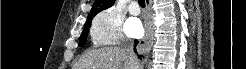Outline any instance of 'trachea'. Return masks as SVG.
<instances>
[{"mask_svg":"<svg viewBox=\"0 0 246 69\" xmlns=\"http://www.w3.org/2000/svg\"><path fill=\"white\" fill-rule=\"evenodd\" d=\"M138 3L141 7H145V0H138Z\"/></svg>","mask_w":246,"mask_h":69,"instance_id":"1","label":"trachea"}]
</instances>
